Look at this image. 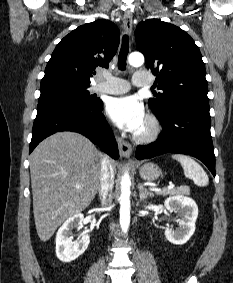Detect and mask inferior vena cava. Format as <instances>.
<instances>
[{
    "instance_id": "inferior-vena-cava-1",
    "label": "inferior vena cava",
    "mask_w": 233,
    "mask_h": 283,
    "mask_svg": "<svg viewBox=\"0 0 233 283\" xmlns=\"http://www.w3.org/2000/svg\"><path fill=\"white\" fill-rule=\"evenodd\" d=\"M114 186V170L112 162L108 156H103L101 161V177L99 186V196L102 204H106L111 198L112 189ZM110 230L115 231V225L110 226Z\"/></svg>"
}]
</instances>
